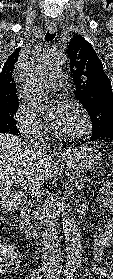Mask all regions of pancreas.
Here are the masks:
<instances>
[{"mask_svg": "<svg viewBox=\"0 0 113 279\" xmlns=\"http://www.w3.org/2000/svg\"><path fill=\"white\" fill-rule=\"evenodd\" d=\"M71 176V180L75 182V186L78 190H81L84 187V182L86 181V179L83 177V175H81L78 172H72L70 174ZM34 215L36 218H38V212L36 210L39 209V205H34Z\"/></svg>", "mask_w": 113, "mask_h": 279, "instance_id": "pancreas-1", "label": "pancreas"}]
</instances>
